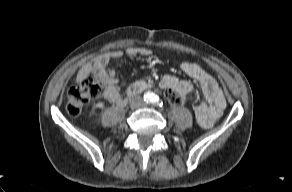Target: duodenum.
<instances>
[{
	"label": "duodenum",
	"instance_id": "410a0bca",
	"mask_svg": "<svg viewBox=\"0 0 292 192\" xmlns=\"http://www.w3.org/2000/svg\"><path fill=\"white\" fill-rule=\"evenodd\" d=\"M148 87V84L145 83L144 81H138L131 85L127 91L126 98L135 96L139 93H141L143 90H145ZM125 98V100H126Z\"/></svg>",
	"mask_w": 292,
	"mask_h": 192
}]
</instances>
